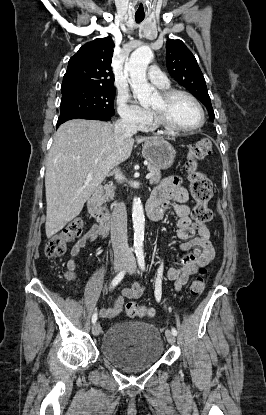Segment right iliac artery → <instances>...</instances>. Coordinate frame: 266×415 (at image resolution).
Masks as SVG:
<instances>
[{
	"label": "right iliac artery",
	"instance_id": "right-iliac-artery-1",
	"mask_svg": "<svg viewBox=\"0 0 266 415\" xmlns=\"http://www.w3.org/2000/svg\"><path fill=\"white\" fill-rule=\"evenodd\" d=\"M125 272L126 270H123L115 276V278L111 282V287H115L116 285L120 283V281L123 279L125 275ZM96 321H97V313H94L92 316V323H95Z\"/></svg>",
	"mask_w": 266,
	"mask_h": 415
}]
</instances>
